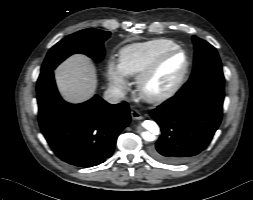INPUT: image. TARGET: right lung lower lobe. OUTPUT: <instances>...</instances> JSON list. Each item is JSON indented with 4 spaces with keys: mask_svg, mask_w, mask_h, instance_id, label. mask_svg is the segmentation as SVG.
<instances>
[{
    "mask_svg": "<svg viewBox=\"0 0 253 200\" xmlns=\"http://www.w3.org/2000/svg\"><path fill=\"white\" fill-rule=\"evenodd\" d=\"M53 71H41L36 88L39 125L48 144L61 160L75 166L104 162L130 123L127 103L111 105L97 95L82 104L67 103L57 91Z\"/></svg>",
    "mask_w": 253,
    "mask_h": 200,
    "instance_id": "98d812e1",
    "label": "right lung lower lobe"
}]
</instances>
